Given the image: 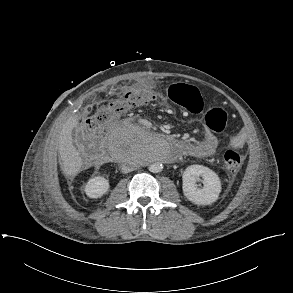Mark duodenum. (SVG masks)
<instances>
[{
  "label": "duodenum",
  "mask_w": 293,
  "mask_h": 293,
  "mask_svg": "<svg viewBox=\"0 0 293 293\" xmlns=\"http://www.w3.org/2000/svg\"><path fill=\"white\" fill-rule=\"evenodd\" d=\"M161 136L165 139H167L170 144L172 145V148L174 149V152L175 154L177 155L178 153L180 154H184L188 151L189 149V144L180 140V139H177L173 136H166V135H163L161 134ZM113 158H116L117 157V154L116 153H113L112 155ZM177 159V156H174V157H171V158H167L166 161L167 162H174L176 161Z\"/></svg>",
  "instance_id": "410a0bca"
}]
</instances>
